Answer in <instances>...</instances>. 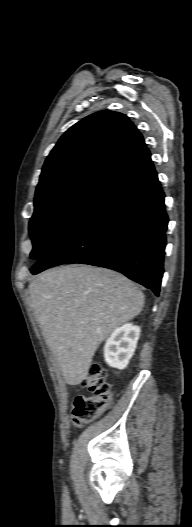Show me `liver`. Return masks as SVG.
<instances>
[{"mask_svg": "<svg viewBox=\"0 0 192 527\" xmlns=\"http://www.w3.org/2000/svg\"><path fill=\"white\" fill-rule=\"evenodd\" d=\"M29 294L36 320L69 385L87 377L99 345L144 306L143 293L127 277L84 265L40 274L30 283Z\"/></svg>", "mask_w": 192, "mask_h": 527, "instance_id": "obj_1", "label": "liver"}]
</instances>
